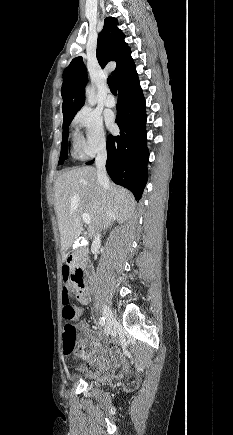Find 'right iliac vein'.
<instances>
[{
	"label": "right iliac vein",
	"instance_id": "63e3f726",
	"mask_svg": "<svg viewBox=\"0 0 233 435\" xmlns=\"http://www.w3.org/2000/svg\"><path fill=\"white\" fill-rule=\"evenodd\" d=\"M103 316L106 320L105 331L107 334H110V332L112 331L113 325L116 322V319H115L111 309L106 305L103 307Z\"/></svg>",
	"mask_w": 233,
	"mask_h": 435
}]
</instances>
